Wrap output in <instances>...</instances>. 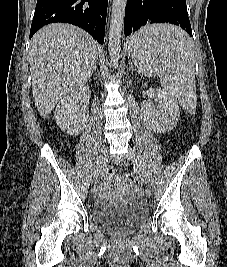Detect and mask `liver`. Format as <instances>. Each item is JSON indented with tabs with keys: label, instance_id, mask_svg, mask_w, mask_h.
Returning a JSON list of instances; mask_svg holds the SVG:
<instances>
[{
	"label": "liver",
	"instance_id": "liver-1",
	"mask_svg": "<svg viewBox=\"0 0 227 267\" xmlns=\"http://www.w3.org/2000/svg\"><path fill=\"white\" fill-rule=\"evenodd\" d=\"M97 43L84 30L54 23L31 39L29 64L32 95L42 118L56 103L87 82L97 59Z\"/></svg>",
	"mask_w": 227,
	"mask_h": 267
}]
</instances>
